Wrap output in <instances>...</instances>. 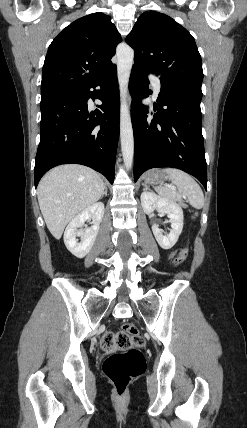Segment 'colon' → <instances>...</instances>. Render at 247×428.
Masks as SVG:
<instances>
[{
	"instance_id": "5ec220e1",
	"label": "colon",
	"mask_w": 247,
	"mask_h": 428,
	"mask_svg": "<svg viewBox=\"0 0 247 428\" xmlns=\"http://www.w3.org/2000/svg\"><path fill=\"white\" fill-rule=\"evenodd\" d=\"M189 254L188 248H183L176 265L183 264ZM145 344L137 327L126 323L118 332H106L101 338L104 350H122L111 354L103 364V372L113 384L118 396H122L130 383L141 375L145 369V361L139 348Z\"/></svg>"
}]
</instances>
